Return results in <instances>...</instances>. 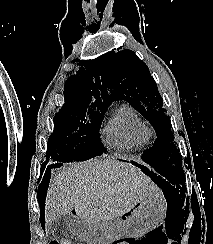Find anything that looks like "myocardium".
<instances>
[{
	"label": "myocardium",
	"mask_w": 213,
	"mask_h": 244,
	"mask_svg": "<svg viewBox=\"0 0 213 244\" xmlns=\"http://www.w3.org/2000/svg\"><path fill=\"white\" fill-rule=\"evenodd\" d=\"M148 133L151 137L154 136V131L151 127L149 128Z\"/></svg>",
	"instance_id": "f54148a6"
}]
</instances>
